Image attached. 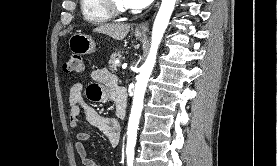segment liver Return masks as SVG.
<instances>
[{
  "instance_id": "6515ba94",
  "label": "liver",
  "mask_w": 277,
  "mask_h": 166,
  "mask_svg": "<svg viewBox=\"0 0 277 166\" xmlns=\"http://www.w3.org/2000/svg\"><path fill=\"white\" fill-rule=\"evenodd\" d=\"M130 25L129 24H104L96 27L93 31L96 33H101L112 37L115 40L124 39L129 33Z\"/></svg>"
}]
</instances>
